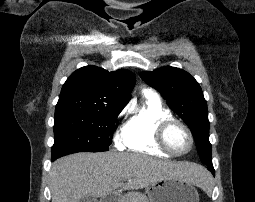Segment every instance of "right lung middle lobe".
<instances>
[{"instance_id": "1", "label": "right lung middle lobe", "mask_w": 255, "mask_h": 202, "mask_svg": "<svg viewBox=\"0 0 255 202\" xmlns=\"http://www.w3.org/2000/svg\"><path fill=\"white\" fill-rule=\"evenodd\" d=\"M122 109L81 110L55 115L52 160L81 151H107Z\"/></svg>"}]
</instances>
